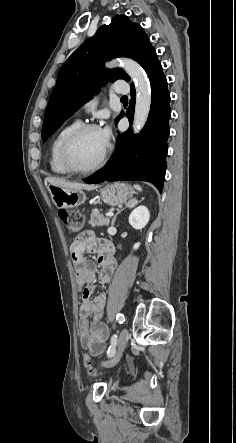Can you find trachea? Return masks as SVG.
Returning a JSON list of instances; mask_svg holds the SVG:
<instances>
[{"instance_id":"1","label":"trachea","mask_w":236,"mask_h":443,"mask_svg":"<svg viewBox=\"0 0 236 443\" xmlns=\"http://www.w3.org/2000/svg\"><path fill=\"white\" fill-rule=\"evenodd\" d=\"M121 100H128L127 96H122Z\"/></svg>"}]
</instances>
